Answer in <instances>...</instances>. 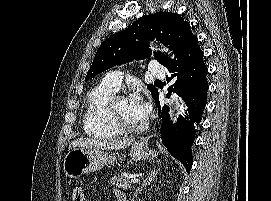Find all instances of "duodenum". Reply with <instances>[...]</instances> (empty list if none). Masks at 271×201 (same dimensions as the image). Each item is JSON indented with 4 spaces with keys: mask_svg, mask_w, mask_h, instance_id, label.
I'll return each instance as SVG.
<instances>
[{
    "mask_svg": "<svg viewBox=\"0 0 271 201\" xmlns=\"http://www.w3.org/2000/svg\"><path fill=\"white\" fill-rule=\"evenodd\" d=\"M118 201H127V198H126L125 195L120 194V195L118 196Z\"/></svg>",
    "mask_w": 271,
    "mask_h": 201,
    "instance_id": "1",
    "label": "duodenum"
}]
</instances>
